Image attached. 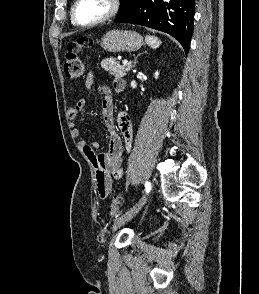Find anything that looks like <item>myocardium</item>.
<instances>
[{"label":"myocardium","mask_w":259,"mask_h":294,"mask_svg":"<svg viewBox=\"0 0 259 294\" xmlns=\"http://www.w3.org/2000/svg\"><path fill=\"white\" fill-rule=\"evenodd\" d=\"M80 2H81V0H75L73 6L71 8V21L75 25L82 27V28L94 27V26H97V25H100V24H103V23L109 21L110 19L114 18L120 12L121 6H122L121 0H109L110 8L104 16H102L98 20L90 22V23H81L78 21L77 14H76L77 7Z\"/></svg>","instance_id":"f54148a6"}]
</instances>
